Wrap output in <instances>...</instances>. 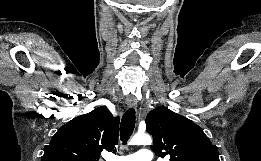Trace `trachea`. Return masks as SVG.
Listing matches in <instances>:
<instances>
[{"instance_id": "trachea-1", "label": "trachea", "mask_w": 261, "mask_h": 161, "mask_svg": "<svg viewBox=\"0 0 261 161\" xmlns=\"http://www.w3.org/2000/svg\"><path fill=\"white\" fill-rule=\"evenodd\" d=\"M135 127V110L130 108L122 117L120 125V137L125 144L133 133Z\"/></svg>"}]
</instances>
